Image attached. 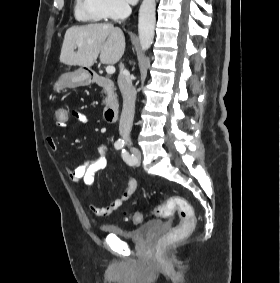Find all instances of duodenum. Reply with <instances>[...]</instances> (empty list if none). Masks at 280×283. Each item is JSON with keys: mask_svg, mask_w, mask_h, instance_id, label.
Wrapping results in <instances>:
<instances>
[{"mask_svg": "<svg viewBox=\"0 0 280 283\" xmlns=\"http://www.w3.org/2000/svg\"><path fill=\"white\" fill-rule=\"evenodd\" d=\"M84 79L105 90L107 97L103 108V115L107 122H115L119 112V102L113 81L97 73H90Z\"/></svg>", "mask_w": 280, "mask_h": 283, "instance_id": "duodenum-1", "label": "duodenum"}]
</instances>
